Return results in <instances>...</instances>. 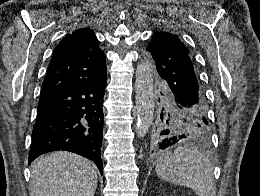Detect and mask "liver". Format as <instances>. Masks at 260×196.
<instances>
[{"instance_id":"1","label":"liver","mask_w":260,"mask_h":196,"mask_svg":"<svg viewBox=\"0 0 260 196\" xmlns=\"http://www.w3.org/2000/svg\"><path fill=\"white\" fill-rule=\"evenodd\" d=\"M97 182L92 162L71 152H53L33 162L30 196H94Z\"/></svg>"}]
</instances>
